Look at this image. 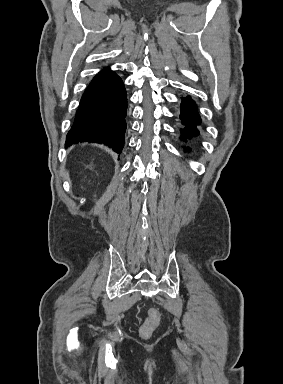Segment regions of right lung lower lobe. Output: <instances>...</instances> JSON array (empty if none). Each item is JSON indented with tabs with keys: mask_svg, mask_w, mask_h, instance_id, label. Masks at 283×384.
I'll list each match as a JSON object with an SVG mask.
<instances>
[{
	"mask_svg": "<svg viewBox=\"0 0 283 384\" xmlns=\"http://www.w3.org/2000/svg\"><path fill=\"white\" fill-rule=\"evenodd\" d=\"M127 94L119 76L107 67L86 88L65 146L78 142L103 143L117 153L124 147Z\"/></svg>",
	"mask_w": 283,
	"mask_h": 384,
	"instance_id": "obj_1",
	"label": "right lung lower lobe"
}]
</instances>
